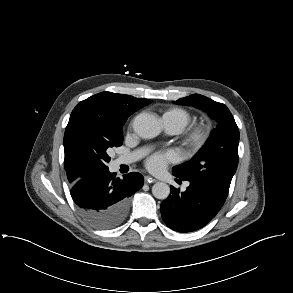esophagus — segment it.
<instances>
[{
	"label": "esophagus",
	"mask_w": 293,
	"mask_h": 293,
	"mask_svg": "<svg viewBox=\"0 0 293 293\" xmlns=\"http://www.w3.org/2000/svg\"><path fill=\"white\" fill-rule=\"evenodd\" d=\"M145 181H146L147 183H154V182H156L157 180H156L155 178L151 177V176H145Z\"/></svg>",
	"instance_id": "obj_1"
}]
</instances>
